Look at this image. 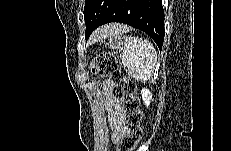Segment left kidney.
Wrapping results in <instances>:
<instances>
[{
	"instance_id": "1",
	"label": "left kidney",
	"mask_w": 231,
	"mask_h": 151,
	"mask_svg": "<svg viewBox=\"0 0 231 151\" xmlns=\"http://www.w3.org/2000/svg\"><path fill=\"white\" fill-rule=\"evenodd\" d=\"M142 100L144 104L148 107L150 105V102L152 100V93L149 89L144 88L141 90Z\"/></svg>"
}]
</instances>
